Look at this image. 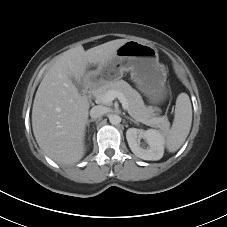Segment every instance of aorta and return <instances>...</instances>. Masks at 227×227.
Masks as SVG:
<instances>
[{"mask_svg": "<svg viewBox=\"0 0 227 227\" xmlns=\"http://www.w3.org/2000/svg\"><path fill=\"white\" fill-rule=\"evenodd\" d=\"M109 121L112 125H117L121 122V118L117 114L110 115Z\"/></svg>", "mask_w": 227, "mask_h": 227, "instance_id": "762f6f07", "label": "aorta"}]
</instances>
